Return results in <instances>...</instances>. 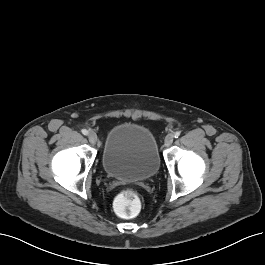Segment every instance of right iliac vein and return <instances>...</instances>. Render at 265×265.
Wrapping results in <instances>:
<instances>
[{
    "label": "right iliac vein",
    "mask_w": 265,
    "mask_h": 265,
    "mask_svg": "<svg viewBox=\"0 0 265 265\" xmlns=\"http://www.w3.org/2000/svg\"><path fill=\"white\" fill-rule=\"evenodd\" d=\"M88 139H89L90 143L94 145L97 142V135H96V133L93 132V131L89 132Z\"/></svg>",
    "instance_id": "1"
}]
</instances>
